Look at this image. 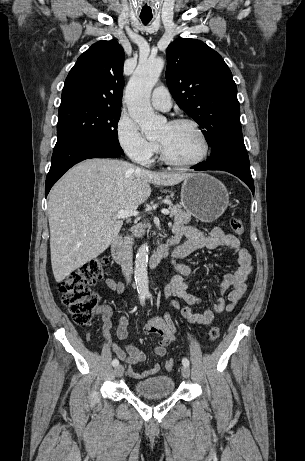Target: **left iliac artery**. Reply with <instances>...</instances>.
<instances>
[{
	"mask_svg": "<svg viewBox=\"0 0 305 461\" xmlns=\"http://www.w3.org/2000/svg\"><path fill=\"white\" fill-rule=\"evenodd\" d=\"M182 364H183L184 366H189V365H190V362H189V360H188L187 358H183V359H182Z\"/></svg>",
	"mask_w": 305,
	"mask_h": 461,
	"instance_id": "1",
	"label": "left iliac artery"
}]
</instances>
